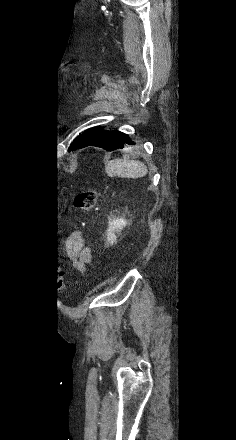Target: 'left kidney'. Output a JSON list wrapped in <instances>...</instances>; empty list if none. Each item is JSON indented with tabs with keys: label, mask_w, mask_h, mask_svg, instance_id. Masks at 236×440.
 <instances>
[{
	"label": "left kidney",
	"mask_w": 236,
	"mask_h": 440,
	"mask_svg": "<svg viewBox=\"0 0 236 440\" xmlns=\"http://www.w3.org/2000/svg\"><path fill=\"white\" fill-rule=\"evenodd\" d=\"M127 221L123 217H110L107 229V241L110 245L117 242V235L126 227Z\"/></svg>",
	"instance_id": "obj_1"
}]
</instances>
